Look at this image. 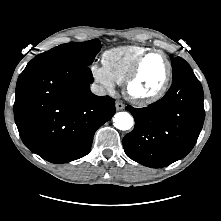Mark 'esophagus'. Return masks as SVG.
Segmentation results:
<instances>
[{
  "instance_id": "obj_1",
  "label": "esophagus",
  "mask_w": 221,
  "mask_h": 221,
  "mask_svg": "<svg viewBox=\"0 0 221 221\" xmlns=\"http://www.w3.org/2000/svg\"><path fill=\"white\" fill-rule=\"evenodd\" d=\"M115 107H116L117 111H121V110H123L125 108V104L122 101L117 100L115 102Z\"/></svg>"
}]
</instances>
